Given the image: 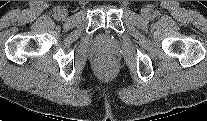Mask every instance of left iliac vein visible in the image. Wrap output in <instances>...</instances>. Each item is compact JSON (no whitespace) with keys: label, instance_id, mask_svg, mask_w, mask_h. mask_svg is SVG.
Returning a JSON list of instances; mask_svg holds the SVG:
<instances>
[{"label":"left iliac vein","instance_id":"left-iliac-vein-1","mask_svg":"<svg viewBox=\"0 0 207 121\" xmlns=\"http://www.w3.org/2000/svg\"><path fill=\"white\" fill-rule=\"evenodd\" d=\"M142 15L145 17L149 16V12L146 8L142 9Z\"/></svg>","mask_w":207,"mask_h":121}]
</instances>
